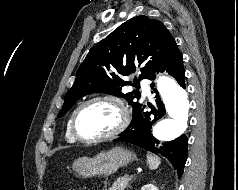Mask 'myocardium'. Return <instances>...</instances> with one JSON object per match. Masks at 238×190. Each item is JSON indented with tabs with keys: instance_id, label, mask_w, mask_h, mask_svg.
<instances>
[{
	"instance_id": "obj_1",
	"label": "myocardium",
	"mask_w": 238,
	"mask_h": 190,
	"mask_svg": "<svg viewBox=\"0 0 238 190\" xmlns=\"http://www.w3.org/2000/svg\"><path fill=\"white\" fill-rule=\"evenodd\" d=\"M95 102H109L112 103L119 111L120 114V120L118 125L109 133L97 137H84L82 136L78 129H77V119L80 114V112L87 107L88 105L95 103ZM131 120V113L127 106V104L118 96L111 95V94H105V95H99L89 98L88 100L81 103L73 112L71 117V131L73 136L85 143H97L102 141H107L110 139L115 138L119 134H121L129 125Z\"/></svg>"
}]
</instances>
